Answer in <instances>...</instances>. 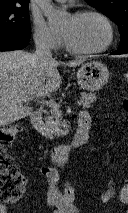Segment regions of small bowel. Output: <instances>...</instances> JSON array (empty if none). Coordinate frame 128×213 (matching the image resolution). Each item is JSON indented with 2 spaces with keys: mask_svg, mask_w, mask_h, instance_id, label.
Instances as JSON below:
<instances>
[{
  "mask_svg": "<svg viewBox=\"0 0 128 213\" xmlns=\"http://www.w3.org/2000/svg\"><path fill=\"white\" fill-rule=\"evenodd\" d=\"M81 114L89 116L87 112H81ZM39 172L46 178L48 182L46 204L49 207L54 208L52 213H79L75 205H65L64 197L58 188L59 173L57 169L50 166H44L40 168ZM0 213H11L9 212L7 205L3 202H0Z\"/></svg>",
  "mask_w": 128,
  "mask_h": 213,
  "instance_id": "c3829d8e",
  "label": "small bowel"
}]
</instances>
